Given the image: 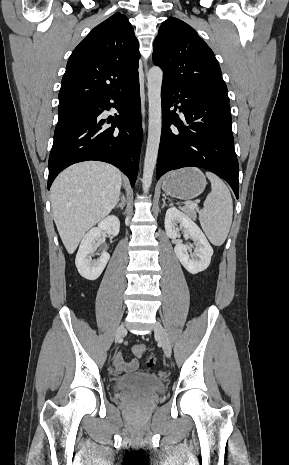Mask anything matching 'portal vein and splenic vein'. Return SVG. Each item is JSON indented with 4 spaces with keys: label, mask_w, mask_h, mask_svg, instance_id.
<instances>
[{
    "label": "portal vein and splenic vein",
    "mask_w": 289,
    "mask_h": 465,
    "mask_svg": "<svg viewBox=\"0 0 289 465\" xmlns=\"http://www.w3.org/2000/svg\"><path fill=\"white\" fill-rule=\"evenodd\" d=\"M186 206H187V208L198 210V205H197V203L187 204Z\"/></svg>",
    "instance_id": "18ae733b"
}]
</instances>
